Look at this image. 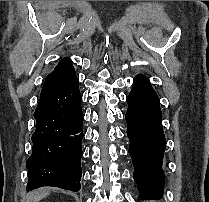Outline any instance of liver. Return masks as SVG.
Instances as JSON below:
<instances>
[{
  "label": "liver",
  "mask_w": 209,
  "mask_h": 202,
  "mask_svg": "<svg viewBox=\"0 0 209 202\" xmlns=\"http://www.w3.org/2000/svg\"><path fill=\"white\" fill-rule=\"evenodd\" d=\"M47 195H48V191L43 190V191L40 192V193H36L33 200H34V201H39V200H41L42 198L46 197Z\"/></svg>",
  "instance_id": "liver-1"
}]
</instances>
